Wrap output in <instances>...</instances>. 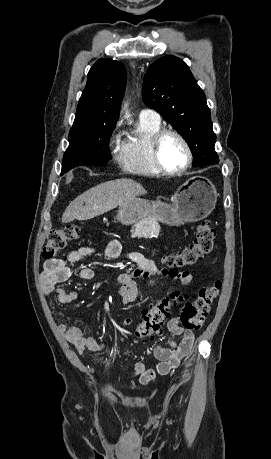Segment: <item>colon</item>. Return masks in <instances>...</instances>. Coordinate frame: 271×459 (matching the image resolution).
<instances>
[{"label": "colon", "instance_id": "colon-1", "mask_svg": "<svg viewBox=\"0 0 271 459\" xmlns=\"http://www.w3.org/2000/svg\"><path fill=\"white\" fill-rule=\"evenodd\" d=\"M80 229L68 225L50 232L42 250L45 259H53L70 242L80 237ZM216 230L209 220H203L197 226L196 237L193 242L178 251L167 254L163 262L167 268L182 269L192 266L209 254L214 247ZM221 289V282H212L207 287L200 289L195 301H190L180 292H172L161 298L149 309L143 312L142 319L137 326L135 335L139 339H146L160 332L172 307L182 304L180 321L190 330H198L205 322L212 302L216 299Z\"/></svg>", "mask_w": 271, "mask_h": 459}]
</instances>
